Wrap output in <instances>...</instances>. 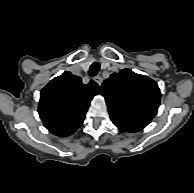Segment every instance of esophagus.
<instances>
[{
	"label": "esophagus",
	"instance_id": "34e87169",
	"mask_svg": "<svg viewBox=\"0 0 194 193\" xmlns=\"http://www.w3.org/2000/svg\"><path fill=\"white\" fill-rule=\"evenodd\" d=\"M94 80H95V82H96L99 86L102 85V82H103L102 77L96 76V77L94 78Z\"/></svg>",
	"mask_w": 194,
	"mask_h": 193
}]
</instances>
